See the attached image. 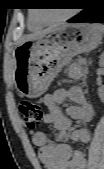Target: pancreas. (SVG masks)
Listing matches in <instances>:
<instances>
[{
  "label": "pancreas",
  "mask_w": 104,
  "mask_h": 169,
  "mask_svg": "<svg viewBox=\"0 0 104 169\" xmlns=\"http://www.w3.org/2000/svg\"><path fill=\"white\" fill-rule=\"evenodd\" d=\"M84 62L82 59H78L75 62H73L68 68H67V75L69 78L72 79H80L82 77H85L87 74V67L83 66Z\"/></svg>",
  "instance_id": "pancreas-1"
}]
</instances>
